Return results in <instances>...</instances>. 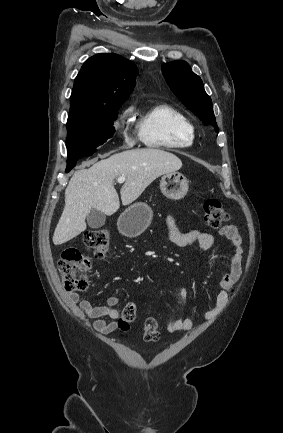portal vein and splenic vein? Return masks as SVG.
I'll return each instance as SVG.
<instances>
[{
	"label": "portal vein and splenic vein",
	"mask_w": 283,
	"mask_h": 433,
	"mask_svg": "<svg viewBox=\"0 0 283 433\" xmlns=\"http://www.w3.org/2000/svg\"><path fill=\"white\" fill-rule=\"evenodd\" d=\"M126 180L125 176H118L117 182H124Z\"/></svg>",
	"instance_id": "18ae733b"
}]
</instances>
